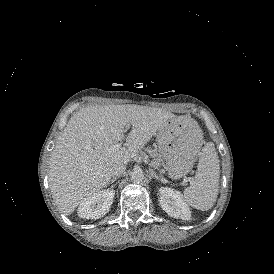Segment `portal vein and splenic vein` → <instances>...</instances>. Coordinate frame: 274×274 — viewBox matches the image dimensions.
<instances>
[{
  "label": "portal vein and splenic vein",
  "instance_id": "obj_1",
  "mask_svg": "<svg viewBox=\"0 0 274 274\" xmlns=\"http://www.w3.org/2000/svg\"><path fill=\"white\" fill-rule=\"evenodd\" d=\"M130 128V125L128 124L127 126H126V129L128 130ZM121 146H122V143H118V144H115V145H112L111 147H110V151L111 152H114V151H116V150H119L120 148H121ZM191 182V181H190Z\"/></svg>",
  "mask_w": 274,
  "mask_h": 274
}]
</instances>
